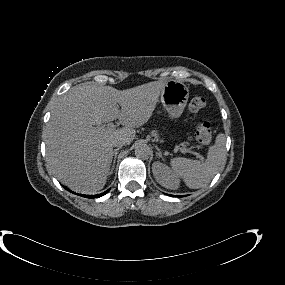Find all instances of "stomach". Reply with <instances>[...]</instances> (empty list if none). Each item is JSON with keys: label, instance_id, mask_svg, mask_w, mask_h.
<instances>
[{"label": "stomach", "instance_id": "stomach-1", "mask_svg": "<svg viewBox=\"0 0 285 285\" xmlns=\"http://www.w3.org/2000/svg\"><path fill=\"white\" fill-rule=\"evenodd\" d=\"M161 102L171 119L179 118L188 102V87L176 80H169L161 91Z\"/></svg>", "mask_w": 285, "mask_h": 285}]
</instances>
